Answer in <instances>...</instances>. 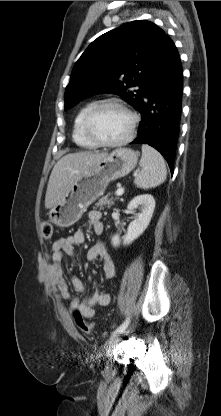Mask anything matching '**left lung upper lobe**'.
Segmentation results:
<instances>
[{"label": "left lung upper lobe", "mask_w": 221, "mask_h": 416, "mask_svg": "<svg viewBox=\"0 0 221 416\" xmlns=\"http://www.w3.org/2000/svg\"><path fill=\"white\" fill-rule=\"evenodd\" d=\"M166 37L162 29L145 20L98 37L72 70L64 109L99 93L117 94L138 109Z\"/></svg>", "instance_id": "left-lung-upper-lobe-1"}]
</instances>
